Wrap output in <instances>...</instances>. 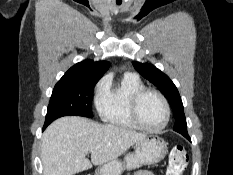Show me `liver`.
Instances as JSON below:
<instances>
[{"label": "liver", "instance_id": "1", "mask_svg": "<svg viewBox=\"0 0 233 175\" xmlns=\"http://www.w3.org/2000/svg\"><path fill=\"white\" fill-rule=\"evenodd\" d=\"M146 134L78 116L51 123L42 137L43 175H74L117 159ZM91 154V162L86 158Z\"/></svg>", "mask_w": 233, "mask_h": 175}]
</instances>
